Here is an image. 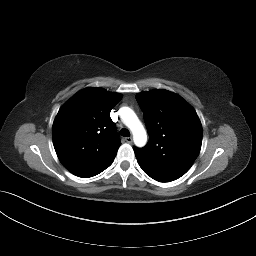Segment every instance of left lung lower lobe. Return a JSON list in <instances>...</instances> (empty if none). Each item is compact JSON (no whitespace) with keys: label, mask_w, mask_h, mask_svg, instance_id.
Segmentation results:
<instances>
[{"label":"left lung lower lobe","mask_w":256,"mask_h":256,"mask_svg":"<svg viewBox=\"0 0 256 256\" xmlns=\"http://www.w3.org/2000/svg\"><path fill=\"white\" fill-rule=\"evenodd\" d=\"M151 178H153L154 180L156 181H159V182H170V181H173V180H168V179H164V178H159V177H155V176H151L149 175Z\"/></svg>","instance_id":"obj_1"}]
</instances>
